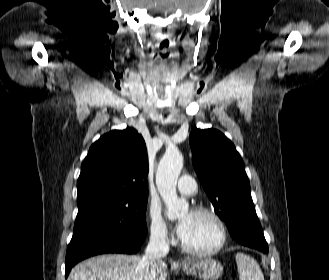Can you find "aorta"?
Wrapping results in <instances>:
<instances>
[{"label": "aorta", "instance_id": "762f6f07", "mask_svg": "<svg viewBox=\"0 0 329 280\" xmlns=\"http://www.w3.org/2000/svg\"><path fill=\"white\" fill-rule=\"evenodd\" d=\"M183 168V157L176 147L164 153L156 171V185L167 208L169 219H175L188 212L189 204L177 197L176 185Z\"/></svg>", "mask_w": 329, "mask_h": 280}]
</instances>
